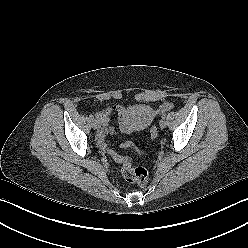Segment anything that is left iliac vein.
I'll return each instance as SVG.
<instances>
[{
    "label": "left iliac vein",
    "instance_id": "1",
    "mask_svg": "<svg viewBox=\"0 0 248 248\" xmlns=\"http://www.w3.org/2000/svg\"><path fill=\"white\" fill-rule=\"evenodd\" d=\"M159 126H160V128H162V129L165 128V127L167 126V121H166L165 118H162V119L160 120Z\"/></svg>",
    "mask_w": 248,
    "mask_h": 248
}]
</instances>
